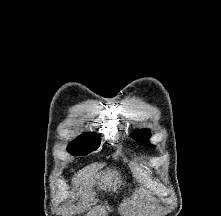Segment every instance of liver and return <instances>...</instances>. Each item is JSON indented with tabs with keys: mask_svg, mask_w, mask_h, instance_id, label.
I'll return each instance as SVG.
<instances>
[{
	"mask_svg": "<svg viewBox=\"0 0 221 216\" xmlns=\"http://www.w3.org/2000/svg\"><path fill=\"white\" fill-rule=\"evenodd\" d=\"M101 168V166H98V165H92L86 169H84L80 175H79V179H76L74 178L73 180V187L75 189H78L79 186L81 187V191L79 192V194H77V196L79 195H83V194H86L82 191V189L85 190V192H88V190L91 189L92 187V184L94 182V178H97L99 175H98V170ZM110 178H107V177H104V179L101 180V184H100V187L102 189H105L107 188V186L109 187H113V190L115 191L117 186V181H115L113 184L110 183ZM73 198H76V196L74 195Z\"/></svg>",
	"mask_w": 221,
	"mask_h": 216,
	"instance_id": "obj_1",
	"label": "liver"
}]
</instances>
